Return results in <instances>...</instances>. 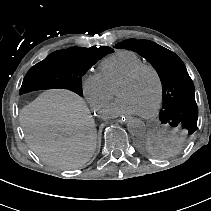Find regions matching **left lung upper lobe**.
<instances>
[{"label": "left lung upper lobe", "instance_id": "obj_1", "mask_svg": "<svg viewBox=\"0 0 211 211\" xmlns=\"http://www.w3.org/2000/svg\"><path fill=\"white\" fill-rule=\"evenodd\" d=\"M115 48L135 51L151 63L163 89L159 120L177 139H188L196 130L198 107L194 84L182 60L172 51L144 39H128L116 44Z\"/></svg>", "mask_w": 211, "mask_h": 211}]
</instances>
